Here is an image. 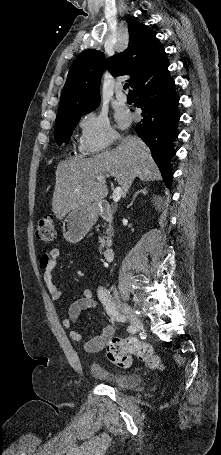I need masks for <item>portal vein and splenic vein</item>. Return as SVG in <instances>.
I'll return each mask as SVG.
<instances>
[{
    "instance_id": "1",
    "label": "portal vein and splenic vein",
    "mask_w": 221,
    "mask_h": 455,
    "mask_svg": "<svg viewBox=\"0 0 221 455\" xmlns=\"http://www.w3.org/2000/svg\"><path fill=\"white\" fill-rule=\"evenodd\" d=\"M106 177H108V175H98L95 178H96L97 181H102ZM121 196H122V188L121 187H116L115 190L113 191V195H112L113 201L115 203L118 202L120 200Z\"/></svg>"
}]
</instances>
